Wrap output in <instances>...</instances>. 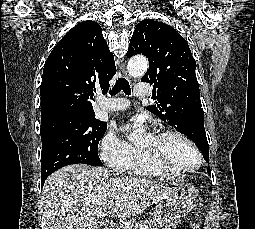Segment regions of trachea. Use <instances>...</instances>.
I'll return each mask as SVG.
<instances>
[{
  "instance_id": "trachea-1",
  "label": "trachea",
  "mask_w": 255,
  "mask_h": 229,
  "mask_svg": "<svg viewBox=\"0 0 255 229\" xmlns=\"http://www.w3.org/2000/svg\"><path fill=\"white\" fill-rule=\"evenodd\" d=\"M121 90H123V92L126 95L131 94V89H130L129 82L125 78H119L116 81V83H115L114 87L112 88V90H110L109 94L110 95H116Z\"/></svg>"
}]
</instances>
